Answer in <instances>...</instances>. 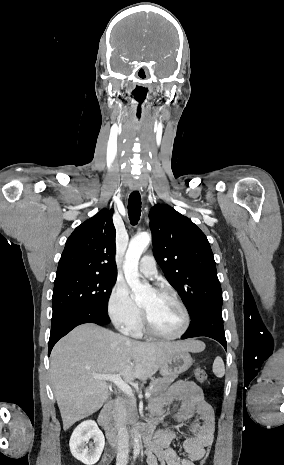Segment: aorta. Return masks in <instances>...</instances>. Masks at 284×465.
<instances>
[{"instance_id":"1","label":"aorta","mask_w":284,"mask_h":465,"mask_svg":"<svg viewBox=\"0 0 284 465\" xmlns=\"http://www.w3.org/2000/svg\"><path fill=\"white\" fill-rule=\"evenodd\" d=\"M151 241L148 233H141L131 239L124 261V274L126 281L135 295L136 302H143L152 293L150 286L142 284L139 280L138 264L140 257ZM134 456L140 453L139 434L136 432L134 437Z\"/></svg>"}]
</instances>
